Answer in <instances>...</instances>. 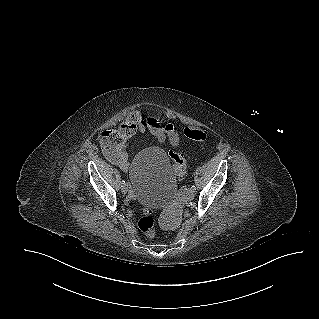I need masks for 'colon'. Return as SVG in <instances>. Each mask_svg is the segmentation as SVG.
<instances>
[{
  "label": "colon",
  "mask_w": 319,
  "mask_h": 319,
  "mask_svg": "<svg viewBox=\"0 0 319 319\" xmlns=\"http://www.w3.org/2000/svg\"><path fill=\"white\" fill-rule=\"evenodd\" d=\"M179 131L185 137L195 140L199 143H207L211 139V134L208 130L194 126L190 121L181 123L179 126ZM170 159L173 165L175 176L178 179H182L187 171L186 159L182 154L177 152H171ZM137 226L143 234L150 237L155 235L156 219L152 215V211L150 209H144L143 215L137 221Z\"/></svg>",
  "instance_id": "5ec220e1"
}]
</instances>
